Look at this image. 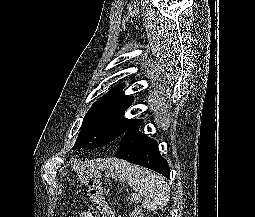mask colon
<instances>
[{
  "label": "colon",
  "mask_w": 255,
  "mask_h": 217,
  "mask_svg": "<svg viewBox=\"0 0 255 217\" xmlns=\"http://www.w3.org/2000/svg\"><path fill=\"white\" fill-rule=\"evenodd\" d=\"M88 193L97 209L102 213H106L107 212L106 201L101 192L100 186L93 181H89ZM129 217H143V214L140 209L136 208L130 212Z\"/></svg>",
  "instance_id": "obj_1"
}]
</instances>
